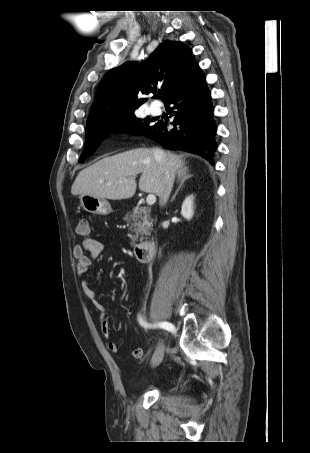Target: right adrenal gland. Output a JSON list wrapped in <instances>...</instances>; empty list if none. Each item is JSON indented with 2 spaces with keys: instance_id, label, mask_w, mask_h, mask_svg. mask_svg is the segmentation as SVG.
<instances>
[{
  "instance_id": "right-adrenal-gland-1",
  "label": "right adrenal gland",
  "mask_w": 310,
  "mask_h": 453,
  "mask_svg": "<svg viewBox=\"0 0 310 453\" xmlns=\"http://www.w3.org/2000/svg\"><path fill=\"white\" fill-rule=\"evenodd\" d=\"M192 176H193V175L189 174V171H188L187 168H186L182 173H180V174L178 175V180H179L180 184H179L177 190L175 191L174 195L172 196L170 202H173V201L175 200L176 195H177V193L179 192V190L181 189V187H182V185L184 184V182H185L187 179L191 178Z\"/></svg>"
}]
</instances>
